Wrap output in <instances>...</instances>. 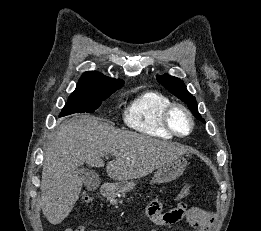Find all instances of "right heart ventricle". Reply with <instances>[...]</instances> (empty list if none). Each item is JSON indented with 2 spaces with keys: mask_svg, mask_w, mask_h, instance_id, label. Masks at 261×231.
<instances>
[{
  "mask_svg": "<svg viewBox=\"0 0 261 231\" xmlns=\"http://www.w3.org/2000/svg\"><path fill=\"white\" fill-rule=\"evenodd\" d=\"M172 104L169 97L158 92H144L136 96L124 109L123 121L127 127L143 135L172 139L163 124V113Z\"/></svg>",
  "mask_w": 261,
  "mask_h": 231,
  "instance_id": "right-heart-ventricle-1",
  "label": "right heart ventricle"
}]
</instances>
